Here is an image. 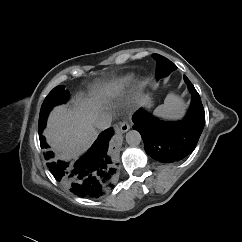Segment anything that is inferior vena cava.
Returning a JSON list of instances; mask_svg holds the SVG:
<instances>
[{
  "mask_svg": "<svg viewBox=\"0 0 242 242\" xmlns=\"http://www.w3.org/2000/svg\"><path fill=\"white\" fill-rule=\"evenodd\" d=\"M112 116L107 112L100 113L94 121L95 128L106 130L111 126Z\"/></svg>",
  "mask_w": 242,
  "mask_h": 242,
  "instance_id": "inferior-vena-cava-1",
  "label": "inferior vena cava"
}]
</instances>
